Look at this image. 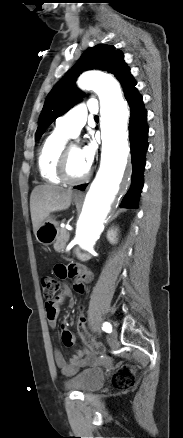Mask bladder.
Wrapping results in <instances>:
<instances>
[{
    "instance_id": "obj_1",
    "label": "bladder",
    "mask_w": 183,
    "mask_h": 438,
    "mask_svg": "<svg viewBox=\"0 0 183 438\" xmlns=\"http://www.w3.org/2000/svg\"><path fill=\"white\" fill-rule=\"evenodd\" d=\"M105 382V375L96 368H89L81 371L67 381V387L83 393L100 389Z\"/></svg>"
}]
</instances>
